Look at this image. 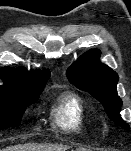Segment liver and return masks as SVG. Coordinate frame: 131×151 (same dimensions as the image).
<instances>
[{"label":"liver","mask_w":131,"mask_h":151,"mask_svg":"<svg viewBox=\"0 0 131 151\" xmlns=\"http://www.w3.org/2000/svg\"><path fill=\"white\" fill-rule=\"evenodd\" d=\"M68 149L69 147L64 145H43V146L19 145L6 148L4 151H67Z\"/></svg>","instance_id":"liver-1"}]
</instances>
